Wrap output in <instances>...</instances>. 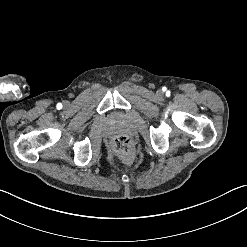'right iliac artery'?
Returning <instances> with one entry per match:
<instances>
[{
  "instance_id": "82829eb1",
  "label": "right iliac artery",
  "mask_w": 247,
  "mask_h": 247,
  "mask_svg": "<svg viewBox=\"0 0 247 247\" xmlns=\"http://www.w3.org/2000/svg\"><path fill=\"white\" fill-rule=\"evenodd\" d=\"M57 108H58V109H61V108H62V104H61V103H58V104H57Z\"/></svg>"
}]
</instances>
